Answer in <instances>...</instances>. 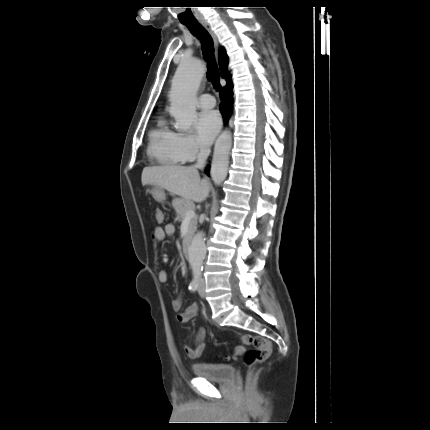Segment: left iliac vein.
<instances>
[{"label":"left iliac vein","instance_id":"4c4485c4","mask_svg":"<svg viewBox=\"0 0 430 430\" xmlns=\"http://www.w3.org/2000/svg\"><path fill=\"white\" fill-rule=\"evenodd\" d=\"M198 293L201 297L205 296V280L203 278L199 281Z\"/></svg>","mask_w":430,"mask_h":430}]
</instances>
